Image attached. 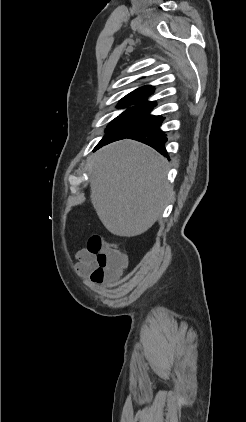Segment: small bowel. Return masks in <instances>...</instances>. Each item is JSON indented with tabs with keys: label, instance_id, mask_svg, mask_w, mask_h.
Returning <instances> with one entry per match:
<instances>
[{
	"label": "small bowel",
	"instance_id": "1",
	"mask_svg": "<svg viewBox=\"0 0 246 422\" xmlns=\"http://www.w3.org/2000/svg\"><path fill=\"white\" fill-rule=\"evenodd\" d=\"M77 258V271L79 274L83 276H90L91 282L94 284H106L109 285V281L104 280H97L92 277V273L97 267L96 258L95 256L90 253L87 249H80L76 253Z\"/></svg>",
	"mask_w": 246,
	"mask_h": 422
}]
</instances>
